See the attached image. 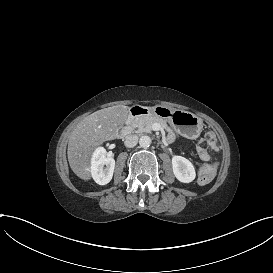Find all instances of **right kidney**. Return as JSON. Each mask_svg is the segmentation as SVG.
<instances>
[{
    "label": "right kidney",
    "mask_w": 273,
    "mask_h": 273,
    "mask_svg": "<svg viewBox=\"0 0 273 273\" xmlns=\"http://www.w3.org/2000/svg\"><path fill=\"white\" fill-rule=\"evenodd\" d=\"M114 169L115 160L106 156L104 148L97 149L93 155L91 168L94 180L100 185L109 183L113 178Z\"/></svg>",
    "instance_id": "right-kidney-1"
}]
</instances>
